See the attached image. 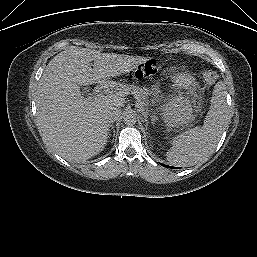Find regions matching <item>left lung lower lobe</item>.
I'll list each match as a JSON object with an SVG mask.
<instances>
[{
  "instance_id": "0a47b994",
  "label": "left lung lower lobe",
  "mask_w": 257,
  "mask_h": 257,
  "mask_svg": "<svg viewBox=\"0 0 257 257\" xmlns=\"http://www.w3.org/2000/svg\"><path fill=\"white\" fill-rule=\"evenodd\" d=\"M163 166H165V167H167V168H176V167H172V166H167V165H164V164H162Z\"/></svg>"
}]
</instances>
